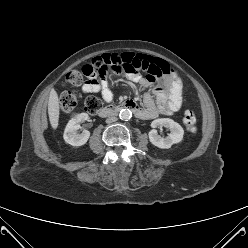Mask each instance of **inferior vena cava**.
I'll return each mask as SVG.
<instances>
[{"label": "inferior vena cava", "mask_w": 248, "mask_h": 248, "mask_svg": "<svg viewBox=\"0 0 248 248\" xmlns=\"http://www.w3.org/2000/svg\"><path fill=\"white\" fill-rule=\"evenodd\" d=\"M116 121H117V117H115V116H112V117H109L106 119V123H108V124H111V123L116 122Z\"/></svg>", "instance_id": "602c4592"}]
</instances>
